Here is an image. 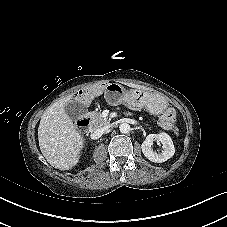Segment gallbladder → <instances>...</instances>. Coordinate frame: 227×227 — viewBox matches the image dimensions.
<instances>
[{"label": "gallbladder", "mask_w": 227, "mask_h": 227, "mask_svg": "<svg viewBox=\"0 0 227 227\" xmlns=\"http://www.w3.org/2000/svg\"><path fill=\"white\" fill-rule=\"evenodd\" d=\"M65 111L72 120H76L87 112V107L84 103L73 101L66 105Z\"/></svg>", "instance_id": "gallbladder-1"}]
</instances>
